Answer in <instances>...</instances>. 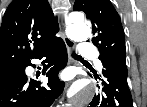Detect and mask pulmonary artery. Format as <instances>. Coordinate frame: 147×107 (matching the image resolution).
<instances>
[{
	"label": "pulmonary artery",
	"mask_w": 147,
	"mask_h": 107,
	"mask_svg": "<svg viewBox=\"0 0 147 107\" xmlns=\"http://www.w3.org/2000/svg\"><path fill=\"white\" fill-rule=\"evenodd\" d=\"M78 52L82 56L96 58L95 47H93L87 43H84V42L79 43ZM95 64H96L97 68H99V69L102 68V63L98 59L95 60Z\"/></svg>",
	"instance_id": "e3ab8cb5"
}]
</instances>
